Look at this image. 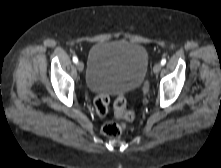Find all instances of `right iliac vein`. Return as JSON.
Returning a JSON list of instances; mask_svg holds the SVG:
<instances>
[{"instance_id": "obj_1", "label": "right iliac vein", "mask_w": 221, "mask_h": 168, "mask_svg": "<svg viewBox=\"0 0 221 168\" xmlns=\"http://www.w3.org/2000/svg\"><path fill=\"white\" fill-rule=\"evenodd\" d=\"M76 67H77V69H78L80 72H82L83 69H84V64H83V62H81V61L77 62Z\"/></svg>"}]
</instances>
